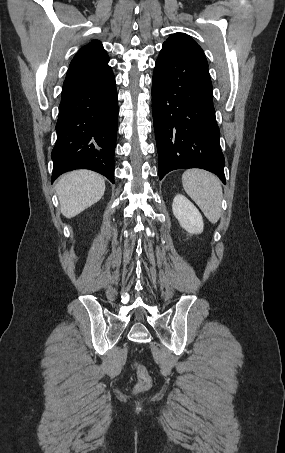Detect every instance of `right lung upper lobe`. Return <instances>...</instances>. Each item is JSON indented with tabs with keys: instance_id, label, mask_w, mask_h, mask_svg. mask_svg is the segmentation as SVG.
<instances>
[{
	"instance_id": "right-lung-upper-lobe-1",
	"label": "right lung upper lobe",
	"mask_w": 285,
	"mask_h": 453,
	"mask_svg": "<svg viewBox=\"0 0 285 453\" xmlns=\"http://www.w3.org/2000/svg\"><path fill=\"white\" fill-rule=\"evenodd\" d=\"M109 57L98 40H92L88 45L83 46L74 56L70 66L83 68H98L108 66Z\"/></svg>"
}]
</instances>
